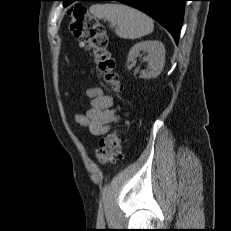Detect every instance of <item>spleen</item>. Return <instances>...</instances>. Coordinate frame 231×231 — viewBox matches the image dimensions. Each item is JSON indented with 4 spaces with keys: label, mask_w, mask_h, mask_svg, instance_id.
I'll return each mask as SVG.
<instances>
[{
    "label": "spleen",
    "mask_w": 231,
    "mask_h": 231,
    "mask_svg": "<svg viewBox=\"0 0 231 231\" xmlns=\"http://www.w3.org/2000/svg\"><path fill=\"white\" fill-rule=\"evenodd\" d=\"M98 19H105L120 38L137 39L153 32V20L141 11L118 3H96L89 9Z\"/></svg>",
    "instance_id": "obj_1"
}]
</instances>
